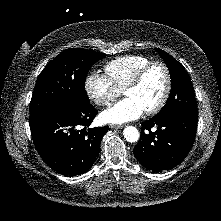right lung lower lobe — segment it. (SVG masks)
Wrapping results in <instances>:
<instances>
[{"label": "right lung lower lobe", "instance_id": "obj_1", "mask_svg": "<svg viewBox=\"0 0 221 221\" xmlns=\"http://www.w3.org/2000/svg\"><path fill=\"white\" fill-rule=\"evenodd\" d=\"M97 110L62 105L30 123L34 145L45 163L57 173L73 176L87 172L95 162L108 126L90 128Z\"/></svg>", "mask_w": 221, "mask_h": 221}]
</instances>
